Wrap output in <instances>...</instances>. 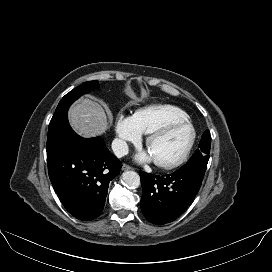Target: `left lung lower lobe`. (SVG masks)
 Segmentation results:
<instances>
[{
  "mask_svg": "<svg viewBox=\"0 0 272 272\" xmlns=\"http://www.w3.org/2000/svg\"><path fill=\"white\" fill-rule=\"evenodd\" d=\"M208 161L187 162L166 176L140 171L141 210L145 218L156 225L170 223L178 218L198 193Z\"/></svg>",
  "mask_w": 272,
  "mask_h": 272,
  "instance_id": "obj_1",
  "label": "left lung lower lobe"
}]
</instances>
